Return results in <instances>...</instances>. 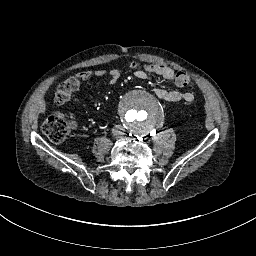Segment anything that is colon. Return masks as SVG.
Returning <instances> with one entry per match:
<instances>
[{
	"label": "colon",
	"instance_id": "colon-1",
	"mask_svg": "<svg viewBox=\"0 0 256 256\" xmlns=\"http://www.w3.org/2000/svg\"><path fill=\"white\" fill-rule=\"evenodd\" d=\"M175 82L179 87H187L192 85V78L185 72L179 71L175 75ZM82 84L80 76H72L63 81L57 88L54 95V103L63 105L69 101L71 93L79 89ZM70 123L61 114H56L48 117L43 125L42 130L45 135L54 142L63 141L69 130Z\"/></svg>",
	"mask_w": 256,
	"mask_h": 256
}]
</instances>
